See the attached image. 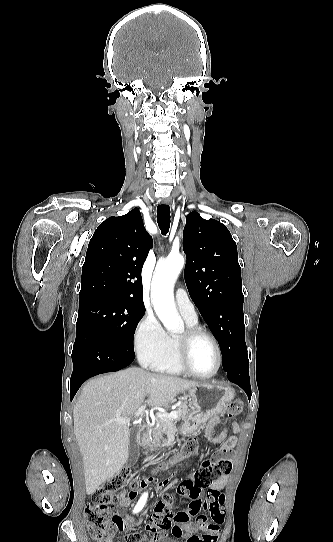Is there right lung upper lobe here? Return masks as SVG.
I'll use <instances>...</instances> for the list:
<instances>
[{"label": "right lung upper lobe", "mask_w": 333, "mask_h": 542, "mask_svg": "<svg viewBox=\"0 0 333 542\" xmlns=\"http://www.w3.org/2000/svg\"><path fill=\"white\" fill-rule=\"evenodd\" d=\"M151 245L138 208L101 223L82 267L79 305L103 299L144 307L141 271Z\"/></svg>", "instance_id": "cb5924a9"}]
</instances>
